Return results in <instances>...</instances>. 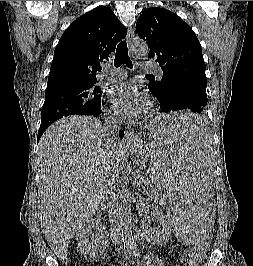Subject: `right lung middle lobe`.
I'll return each instance as SVG.
<instances>
[{"label":"right lung middle lobe","instance_id":"obj_1","mask_svg":"<svg viewBox=\"0 0 253 266\" xmlns=\"http://www.w3.org/2000/svg\"><path fill=\"white\" fill-rule=\"evenodd\" d=\"M95 83H70L46 89L40 127L49 126L64 116L84 115L101 109V88Z\"/></svg>","mask_w":253,"mask_h":266}]
</instances>
